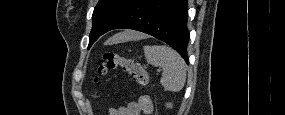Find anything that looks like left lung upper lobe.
<instances>
[{
    "label": "left lung upper lobe",
    "mask_w": 285,
    "mask_h": 115,
    "mask_svg": "<svg viewBox=\"0 0 285 115\" xmlns=\"http://www.w3.org/2000/svg\"><path fill=\"white\" fill-rule=\"evenodd\" d=\"M132 0H99L93 12L89 47L106 32L108 25Z\"/></svg>",
    "instance_id": "5c2ea615"
}]
</instances>
